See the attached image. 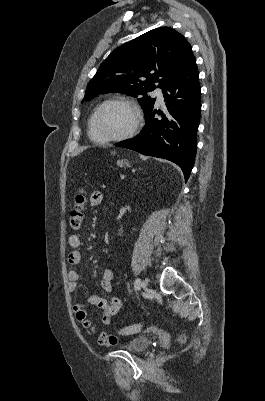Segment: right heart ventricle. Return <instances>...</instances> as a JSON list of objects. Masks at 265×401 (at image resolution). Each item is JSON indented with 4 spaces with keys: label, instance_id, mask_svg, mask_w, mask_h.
<instances>
[{
    "label": "right heart ventricle",
    "instance_id": "right-heart-ventricle-1",
    "mask_svg": "<svg viewBox=\"0 0 265 401\" xmlns=\"http://www.w3.org/2000/svg\"><path fill=\"white\" fill-rule=\"evenodd\" d=\"M98 107H99V106H97V107L94 109V111L92 112V114L90 115L89 120H88V135H89L90 139H92V138H91V136H90V134H89V124H90V120H91L92 116L94 115V113H95V111L98 109Z\"/></svg>",
    "mask_w": 265,
    "mask_h": 401
}]
</instances>
